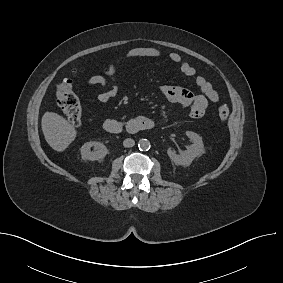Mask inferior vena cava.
Here are the masks:
<instances>
[{"mask_svg":"<svg viewBox=\"0 0 283 283\" xmlns=\"http://www.w3.org/2000/svg\"><path fill=\"white\" fill-rule=\"evenodd\" d=\"M135 145V141L131 138H127L123 141V146L126 148L133 147Z\"/></svg>","mask_w":283,"mask_h":283,"instance_id":"obj_1","label":"inferior vena cava"}]
</instances>
